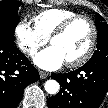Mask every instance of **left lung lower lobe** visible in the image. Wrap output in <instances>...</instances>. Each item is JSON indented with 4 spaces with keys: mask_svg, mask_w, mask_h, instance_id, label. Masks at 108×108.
<instances>
[{
    "mask_svg": "<svg viewBox=\"0 0 108 108\" xmlns=\"http://www.w3.org/2000/svg\"><path fill=\"white\" fill-rule=\"evenodd\" d=\"M51 77L61 88L47 100L48 108H98L108 92V59H92L75 71Z\"/></svg>",
    "mask_w": 108,
    "mask_h": 108,
    "instance_id": "obj_1",
    "label": "left lung lower lobe"
}]
</instances>
